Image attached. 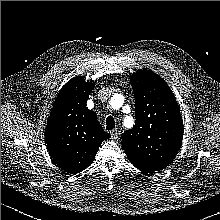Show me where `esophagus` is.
<instances>
[{"label": "esophagus", "instance_id": "esophagus-1", "mask_svg": "<svg viewBox=\"0 0 220 220\" xmlns=\"http://www.w3.org/2000/svg\"><path fill=\"white\" fill-rule=\"evenodd\" d=\"M111 138L112 139H117L119 137L120 131L118 129H113L110 131Z\"/></svg>", "mask_w": 220, "mask_h": 220}]
</instances>
